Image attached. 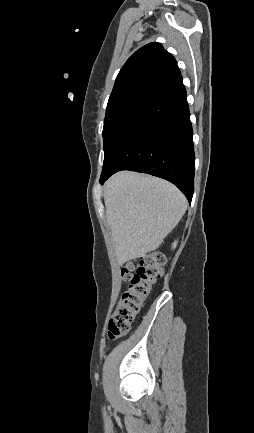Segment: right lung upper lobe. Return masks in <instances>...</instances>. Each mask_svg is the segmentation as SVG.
<instances>
[{
  "label": "right lung upper lobe",
  "instance_id": "obj_1",
  "mask_svg": "<svg viewBox=\"0 0 254 433\" xmlns=\"http://www.w3.org/2000/svg\"><path fill=\"white\" fill-rule=\"evenodd\" d=\"M180 76L174 57L160 43L137 50L117 75L107 107L131 101H147L161 88Z\"/></svg>",
  "mask_w": 254,
  "mask_h": 433
}]
</instances>
